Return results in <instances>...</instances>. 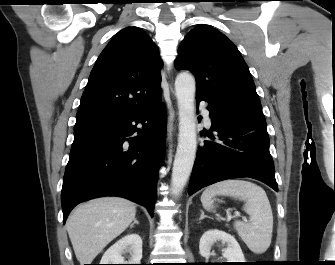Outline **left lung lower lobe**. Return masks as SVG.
<instances>
[{
	"mask_svg": "<svg viewBox=\"0 0 335 265\" xmlns=\"http://www.w3.org/2000/svg\"><path fill=\"white\" fill-rule=\"evenodd\" d=\"M202 100L196 96L197 103ZM208 104L212 130L201 133L211 140H205L198 150L188 193L191 195L213 183L241 177L260 180L278 191L266 128Z\"/></svg>",
	"mask_w": 335,
	"mask_h": 265,
	"instance_id": "obj_1",
	"label": "left lung lower lobe"
}]
</instances>
